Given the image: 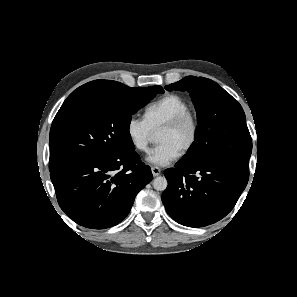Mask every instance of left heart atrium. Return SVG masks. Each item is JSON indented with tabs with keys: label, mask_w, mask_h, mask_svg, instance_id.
Instances as JSON below:
<instances>
[{
	"label": "left heart atrium",
	"mask_w": 297,
	"mask_h": 297,
	"mask_svg": "<svg viewBox=\"0 0 297 297\" xmlns=\"http://www.w3.org/2000/svg\"><path fill=\"white\" fill-rule=\"evenodd\" d=\"M180 151L170 143H159L147 157V161L156 167H164L174 162Z\"/></svg>",
	"instance_id": "left-heart-atrium-1"
}]
</instances>
